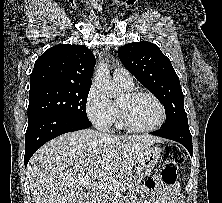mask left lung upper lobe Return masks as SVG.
Masks as SVG:
<instances>
[{"mask_svg":"<svg viewBox=\"0 0 222 203\" xmlns=\"http://www.w3.org/2000/svg\"><path fill=\"white\" fill-rule=\"evenodd\" d=\"M122 64L163 104L166 121L162 128L188 127L184 96L170 60L156 44L132 42L118 50Z\"/></svg>","mask_w":222,"mask_h":203,"instance_id":"1","label":"left lung upper lobe"}]
</instances>
